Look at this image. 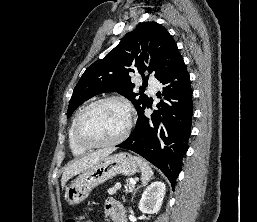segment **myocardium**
Returning <instances> with one entry per match:
<instances>
[{"label": "myocardium", "instance_id": "1", "mask_svg": "<svg viewBox=\"0 0 257 222\" xmlns=\"http://www.w3.org/2000/svg\"><path fill=\"white\" fill-rule=\"evenodd\" d=\"M109 102H117L124 106V108L127 111V124L123 132L116 137L113 140L105 141V142H93L88 139H86L82 133H81V126L86 118V116L97 106L109 103ZM133 126V110L130 102L120 96H108L101 99H98L91 104H89L87 107H85L81 113L78 115L75 125H74V139L75 141L82 147H85L87 149H93V148H105V147H111L120 144L123 142L128 135L130 134V131Z\"/></svg>", "mask_w": 257, "mask_h": 222}]
</instances>
